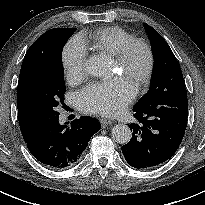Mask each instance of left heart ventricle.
Masks as SVG:
<instances>
[{
	"instance_id": "b2bd125f",
	"label": "left heart ventricle",
	"mask_w": 205,
	"mask_h": 205,
	"mask_svg": "<svg viewBox=\"0 0 205 205\" xmlns=\"http://www.w3.org/2000/svg\"><path fill=\"white\" fill-rule=\"evenodd\" d=\"M146 64V55L140 48L136 49L131 57V60L125 70H121L115 62L116 69L136 81V78L142 73Z\"/></svg>"
}]
</instances>
